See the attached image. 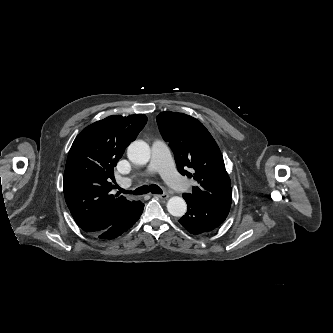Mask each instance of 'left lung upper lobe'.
<instances>
[{"instance_id":"obj_1","label":"left lung upper lobe","mask_w":333,"mask_h":333,"mask_svg":"<svg viewBox=\"0 0 333 333\" xmlns=\"http://www.w3.org/2000/svg\"><path fill=\"white\" fill-rule=\"evenodd\" d=\"M157 123L163 139L169 142L178 171L196 180L191 196L217 209L230 210L231 181L215 140L197 119L171 111L161 112Z\"/></svg>"}]
</instances>
